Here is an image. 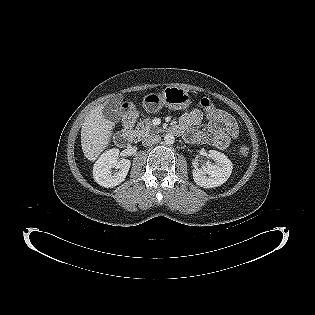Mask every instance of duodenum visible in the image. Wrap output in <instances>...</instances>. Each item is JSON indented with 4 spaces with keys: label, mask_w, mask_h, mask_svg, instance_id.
Returning a JSON list of instances; mask_svg holds the SVG:
<instances>
[{
    "label": "duodenum",
    "mask_w": 315,
    "mask_h": 315,
    "mask_svg": "<svg viewBox=\"0 0 315 315\" xmlns=\"http://www.w3.org/2000/svg\"><path fill=\"white\" fill-rule=\"evenodd\" d=\"M135 123V118L131 120H126L123 118V128L117 132L114 136V142L119 147H126L130 144L132 139L133 126ZM169 132L172 134H179V130L176 126H171Z\"/></svg>",
    "instance_id": "410a0bca"
}]
</instances>
